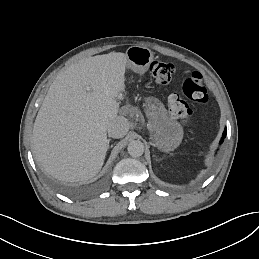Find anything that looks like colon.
<instances>
[{
  "label": "colon",
  "instance_id": "colon-1",
  "mask_svg": "<svg viewBox=\"0 0 259 259\" xmlns=\"http://www.w3.org/2000/svg\"><path fill=\"white\" fill-rule=\"evenodd\" d=\"M174 71L175 67L169 61H154L150 66L151 76L154 82L160 86H167L170 83ZM188 100L197 103L208 101L207 87L199 72L191 73L184 81L182 95L171 93L168 96L170 114L182 123H188L193 116Z\"/></svg>",
  "mask_w": 259,
  "mask_h": 259
}]
</instances>
